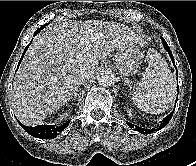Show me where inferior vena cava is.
I'll list each match as a JSON object with an SVG mask.
<instances>
[{
	"label": "inferior vena cava",
	"mask_w": 196,
	"mask_h": 166,
	"mask_svg": "<svg viewBox=\"0 0 196 166\" xmlns=\"http://www.w3.org/2000/svg\"><path fill=\"white\" fill-rule=\"evenodd\" d=\"M90 77H91V75H90L89 73L78 72V73H76L75 76H74V83H75L76 85L83 84V83L86 82Z\"/></svg>",
	"instance_id": "inferior-vena-cava-1"
}]
</instances>
